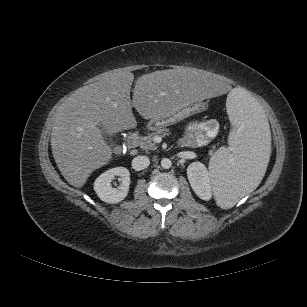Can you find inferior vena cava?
<instances>
[{
    "label": "inferior vena cava",
    "mask_w": 307,
    "mask_h": 307,
    "mask_svg": "<svg viewBox=\"0 0 307 307\" xmlns=\"http://www.w3.org/2000/svg\"><path fill=\"white\" fill-rule=\"evenodd\" d=\"M150 164V160L147 156H137L132 160V168L136 171L147 168Z\"/></svg>",
    "instance_id": "inferior-vena-cava-1"
}]
</instances>
